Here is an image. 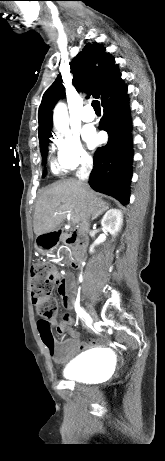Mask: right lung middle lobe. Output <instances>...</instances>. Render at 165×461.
Masks as SVG:
<instances>
[{
  "label": "right lung middle lobe",
  "mask_w": 165,
  "mask_h": 461,
  "mask_svg": "<svg viewBox=\"0 0 165 461\" xmlns=\"http://www.w3.org/2000/svg\"><path fill=\"white\" fill-rule=\"evenodd\" d=\"M51 136L52 135H51V132H50V133H46L44 136L39 138L40 148H41V153H42L43 158L46 157L47 145H48V142H49V137H51Z\"/></svg>",
  "instance_id": "1"
}]
</instances>
